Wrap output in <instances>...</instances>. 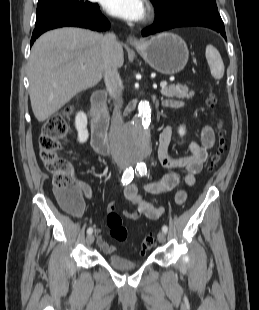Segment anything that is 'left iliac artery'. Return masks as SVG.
Listing matches in <instances>:
<instances>
[{"label": "left iliac artery", "instance_id": "1", "mask_svg": "<svg viewBox=\"0 0 259 310\" xmlns=\"http://www.w3.org/2000/svg\"><path fill=\"white\" fill-rule=\"evenodd\" d=\"M137 172H138L139 175L144 176V175L147 173L146 164L143 163V162H142V163H138V164H137ZM162 231H163L164 233H166V232L168 231V227H167L166 225H164V226L162 227Z\"/></svg>", "mask_w": 259, "mask_h": 310}]
</instances>
